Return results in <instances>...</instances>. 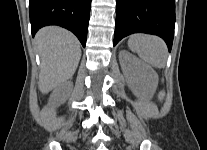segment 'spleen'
Here are the masks:
<instances>
[{
	"label": "spleen",
	"instance_id": "spleen-1",
	"mask_svg": "<svg viewBox=\"0 0 207 150\" xmlns=\"http://www.w3.org/2000/svg\"><path fill=\"white\" fill-rule=\"evenodd\" d=\"M132 52L147 64L156 68H164L167 61V47L165 42L157 37L146 34H135L128 40Z\"/></svg>",
	"mask_w": 207,
	"mask_h": 150
}]
</instances>
